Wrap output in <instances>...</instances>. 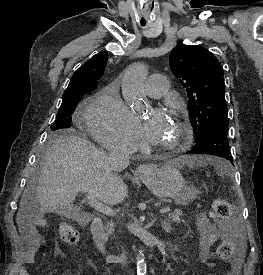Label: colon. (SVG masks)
<instances>
[{"label": "colon", "mask_w": 263, "mask_h": 275, "mask_svg": "<svg viewBox=\"0 0 263 275\" xmlns=\"http://www.w3.org/2000/svg\"><path fill=\"white\" fill-rule=\"evenodd\" d=\"M212 217L220 222L227 223L232 216L230 203L225 199H216L212 206ZM59 235L61 240L67 245H75L79 241V232L71 224L63 222L59 225ZM234 246L228 239L220 242L217 248V256L223 261H229L233 257ZM228 275H234L233 271Z\"/></svg>", "instance_id": "1"}]
</instances>
